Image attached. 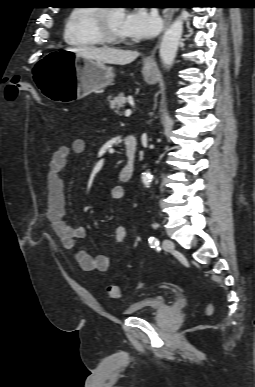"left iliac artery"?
I'll return each mask as SVG.
<instances>
[{
  "mask_svg": "<svg viewBox=\"0 0 255 387\" xmlns=\"http://www.w3.org/2000/svg\"><path fill=\"white\" fill-rule=\"evenodd\" d=\"M149 244L151 248H158L159 247V241L156 237H150L149 238Z\"/></svg>",
  "mask_w": 255,
  "mask_h": 387,
  "instance_id": "obj_1",
  "label": "left iliac artery"
}]
</instances>
